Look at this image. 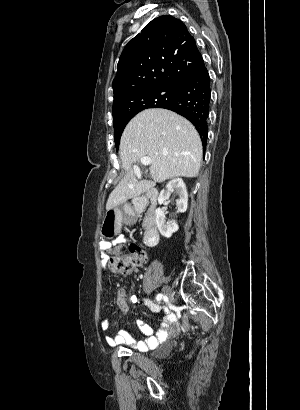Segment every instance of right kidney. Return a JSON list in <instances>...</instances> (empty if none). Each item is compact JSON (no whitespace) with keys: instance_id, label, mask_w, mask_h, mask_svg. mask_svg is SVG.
<instances>
[{"instance_id":"1","label":"right kidney","mask_w":300,"mask_h":410,"mask_svg":"<svg viewBox=\"0 0 300 410\" xmlns=\"http://www.w3.org/2000/svg\"><path fill=\"white\" fill-rule=\"evenodd\" d=\"M172 192H175L179 198L176 201L177 212L184 213L188 206V193L186 185L181 178L172 179L163 189L158 196V203L163 204L169 199ZM155 221L160 234L166 238H170L179 227L175 220H165V214L163 209L158 208L155 211Z\"/></svg>"}]
</instances>
